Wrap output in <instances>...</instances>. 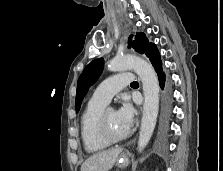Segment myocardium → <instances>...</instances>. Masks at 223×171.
<instances>
[{"label": "myocardium", "mask_w": 223, "mask_h": 171, "mask_svg": "<svg viewBox=\"0 0 223 171\" xmlns=\"http://www.w3.org/2000/svg\"><path fill=\"white\" fill-rule=\"evenodd\" d=\"M109 109H104L98 117L97 134L99 138L107 144H115L125 140L129 136V132L121 137H113L108 131L106 116Z\"/></svg>", "instance_id": "f54148a6"}]
</instances>
